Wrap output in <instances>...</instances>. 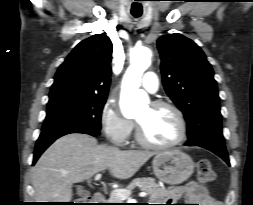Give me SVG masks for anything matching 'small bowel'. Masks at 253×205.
<instances>
[{
    "instance_id": "c3829d8e",
    "label": "small bowel",
    "mask_w": 253,
    "mask_h": 205,
    "mask_svg": "<svg viewBox=\"0 0 253 205\" xmlns=\"http://www.w3.org/2000/svg\"><path fill=\"white\" fill-rule=\"evenodd\" d=\"M181 197H185L189 202L196 203L190 205H220V203L211 196L205 186L194 181L172 191L171 199L176 200Z\"/></svg>"
}]
</instances>
